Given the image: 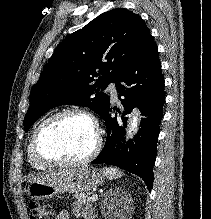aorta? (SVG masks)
I'll return each mask as SVG.
<instances>
[{"instance_id": "762f6f07", "label": "aorta", "mask_w": 211, "mask_h": 219, "mask_svg": "<svg viewBox=\"0 0 211 219\" xmlns=\"http://www.w3.org/2000/svg\"><path fill=\"white\" fill-rule=\"evenodd\" d=\"M137 125H138V120L136 117H134L131 123L130 132L133 131L137 127Z\"/></svg>"}]
</instances>
